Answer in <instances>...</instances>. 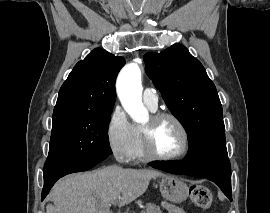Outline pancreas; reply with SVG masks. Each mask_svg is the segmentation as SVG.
<instances>
[{
    "label": "pancreas",
    "instance_id": "pancreas-1",
    "mask_svg": "<svg viewBox=\"0 0 270 213\" xmlns=\"http://www.w3.org/2000/svg\"><path fill=\"white\" fill-rule=\"evenodd\" d=\"M141 213H162V211L159 206L153 203H148L146 205V209L141 211Z\"/></svg>",
    "mask_w": 270,
    "mask_h": 213
}]
</instances>
